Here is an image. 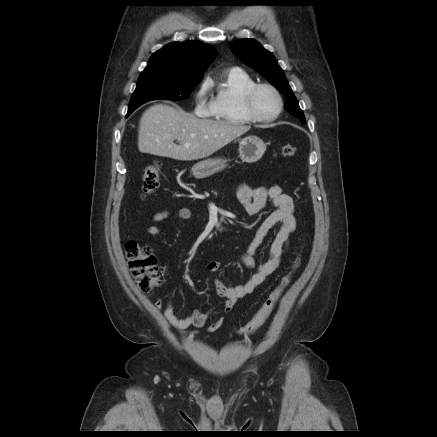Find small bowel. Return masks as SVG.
Wrapping results in <instances>:
<instances>
[{"label":"small bowel","mask_w":437,"mask_h":437,"mask_svg":"<svg viewBox=\"0 0 437 437\" xmlns=\"http://www.w3.org/2000/svg\"><path fill=\"white\" fill-rule=\"evenodd\" d=\"M237 198L244 211L249 216H255L263 211L266 207L271 206L274 210L267 216L256 232L255 238L248 247L247 253L240 257L242 263L249 268H256L254 274L244 284L238 286H229L221 279L216 278L214 281L217 294L224 301V311H232L238 299L252 293L269 275H271L280 265L282 258L289 244L290 235L296 229V219L294 215V202L291 196L284 193L281 186L272 184L270 186H261L251 188L248 185H241L237 191ZM171 215V211L162 210L157 212L152 218V224L146 228V233L157 236L161 234V228L157 225L159 222L166 220ZM175 216L178 219L186 220L191 218L192 212L188 208H180L176 211ZM280 228L271 244L268 259L256 266L255 255L268 232L276 225ZM221 267L219 261H211L207 264L209 272H217ZM158 309L163 308V315L171 326L182 333H186L190 327H204L210 317V312H200L191 310L190 313L180 318L176 315L173 304L169 301L165 306L163 301L158 299L155 302ZM224 318L218 317L213 320L207 330L216 331L223 323ZM197 331L189 332V335L196 334Z\"/></svg>","instance_id":"c3829d8e"}]
</instances>
